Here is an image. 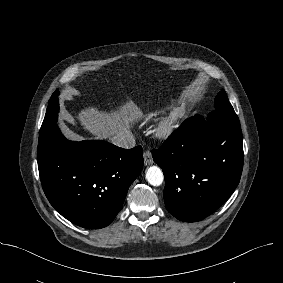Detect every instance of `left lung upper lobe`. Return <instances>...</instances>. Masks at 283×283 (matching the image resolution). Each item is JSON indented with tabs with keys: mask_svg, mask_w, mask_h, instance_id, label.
I'll list each match as a JSON object with an SVG mask.
<instances>
[{
	"mask_svg": "<svg viewBox=\"0 0 283 283\" xmlns=\"http://www.w3.org/2000/svg\"><path fill=\"white\" fill-rule=\"evenodd\" d=\"M215 109L233 110L225 90H222L215 98Z\"/></svg>",
	"mask_w": 283,
	"mask_h": 283,
	"instance_id": "1",
	"label": "left lung upper lobe"
}]
</instances>
